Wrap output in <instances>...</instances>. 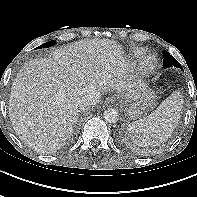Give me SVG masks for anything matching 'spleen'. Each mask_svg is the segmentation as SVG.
Returning a JSON list of instances; mask_svg holds the SVG:
<instances>
[{"label": "spleen", "mask_w": 197, "mask_h": 197, "mask_svg": "<svg viewBox=\"0 0 197 197\" xmlns=\"http://www.w3.org/2000/svg\"><path fill=\"white\" fill-rule=\"evenodd\" d=\"M183 108V96L174 91L150 115L129 124L133 141L142 146H157L166 141L176 128Z\"/></svg>", "instance_id": "obj_1"}]
</instances>
